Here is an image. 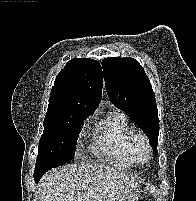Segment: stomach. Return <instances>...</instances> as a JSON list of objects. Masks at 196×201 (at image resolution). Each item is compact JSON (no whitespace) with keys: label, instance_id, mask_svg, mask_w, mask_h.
I'll use <instances>...</instances> for the list:
<instances>
[{"label":"stomach","instance_id":"stomach-1","mask_svg":"<svg viewBox=\"0 0 196 201\" xmlns=\"http://www.w3.org/2000/svg\"><path fill=\"white\" fill-rule=\"evenodd\" d=\"M125 201H137V197L136 195L134 194V196H129Z\"/></svg>","mask_w":196,"mask_h":201}]
</instances>
